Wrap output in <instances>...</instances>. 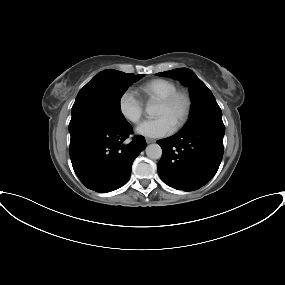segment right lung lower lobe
I'll return each mask as SVG.
<instances>
[{
  "mask_svg": "<svg viewBox=\"0 0 285 285\" xmlns=\"http://www.w3.org/2000/svg\"><path fill=\"white\" fill-rule=\"evenodd\" d=\"M132 130L130 124L113 128L86 123L70 132L72 166L85 187L105 193L127 183L134 159L146 147L142 136L123 144Z\"/></svg>",
  "mask_w": 285,
  "mask_h": 285,
  "instance_id": "right-lung-lower-lobe-1",
  "label": "right lung lower lobe"
}]
</instances>
